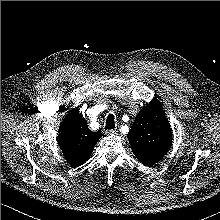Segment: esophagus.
Instances as JSON below:
<instances>
[{"label":"esophagus","instance_id":"esophagus-1","mask_svg":"<svg viewBox=\"0 0 220 220\" xmlns=\"http://www.w3.org/2000/svg\"><path fill=\"white\" fill-rule=\"evenodd\" d=\"M117 133H118L117 129L106 130V134H108V135H114V134H117Z\"/></svg>","mask_w":220,"mask_h":220}]
</instances>
